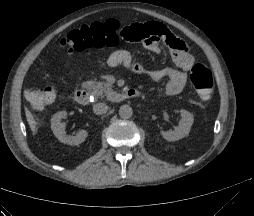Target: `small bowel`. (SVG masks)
<instances>
[{"label":"small bowel","instance_id":"1","mask_svg":"<svg viewBox=\"0 0 254 216\" xmlns=\"http://www.w3.org/2000/svg\"><path fill=\"white\" fill-rule=\"evenodd\" d=\"M117 37L120 41L130 44L142 42L147 50L155 53L168 49L172 54L175 67L149 71L146 76L151 82L167 79L166 93L168 95H177L183 91L187 82L186 70L191 66L193 58L186 43L175 33L170 32L167 27H162L159 23L147 22L122 25L117 30ZM106 64L110 67L122 65L131 67L134 71L142 70L141 65L133 62L130 53L125 50L112 52Z\"/></svg>","mask_w":254,"mask_h":216}]
</instances>
